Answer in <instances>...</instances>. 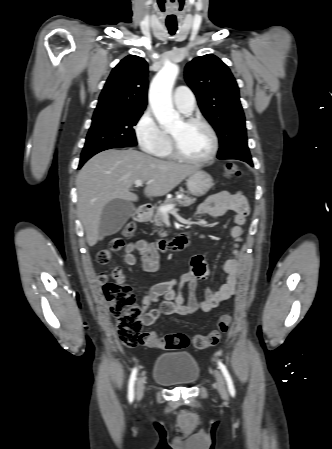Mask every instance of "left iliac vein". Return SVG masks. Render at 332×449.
I'll list each match as a JSON object with an SVG mask.
<instances>
[{
	"label": "left iliac vein",
	"instance_id": "1",
	"mask_svg": "<svg viewBox=\"0 0 332 449\" xmlns=\"http://www.w3.org/2000/svg\"><path fill=\"white\" fill-rule=\"evenodd\" d=\"M213 375L216 379L215 382V387L217 388L218 392L220 393V395L223 398H227L228 393H227V389H226V385H225V381L223 378V375L221 374V372L219 370H214L213 371Z\"/></svg>",
	"mask_w": 332,
	"mask_h": 449
}]
</instances>
